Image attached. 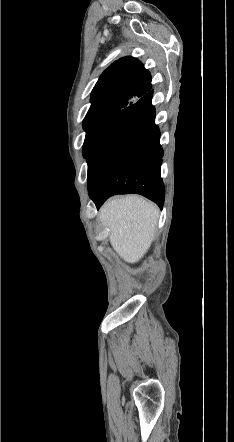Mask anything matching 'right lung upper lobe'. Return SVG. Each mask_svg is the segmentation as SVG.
I'll use <instances>...</instances> for the list:
<instances>
[{
	"label": "right lung upper lobe",
	"mask_w": 234,
	"mask_h": 442,
	"mask_svg": "<svg viewBox=\"0 0 234 442\" xmlns=\"http://www.w3.org/2000/svg\"><path fill=\"white\" fill-rule=\"evenodd\" d=\"M151 88V75L138 59L128 56L120 58L97 81L85 118L118 113L148 93Z\"/></svg>",
	"instance_id": "1"
}]
</instances>
